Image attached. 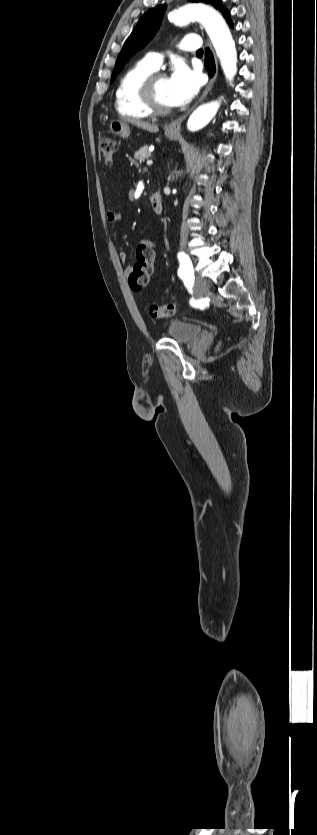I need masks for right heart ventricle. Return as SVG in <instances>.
Listing matches in <instances>:
<instances>
[{"instance_id":"e07e8e85","label":"right heart ventricle","mask_w":317,"mask_h":835,"mask_svg":"<svg viewBox=\"0 0 317 835\" xmlns=\"http://www.w3.org/2000/svg\"><path fill=\"white\" fill-rule=\"evenodd\" d=\"M153 72L145 60L129 67L121 76L115 91V107L122 116L145 119L152 114L141 100L139 89L142 82Z\"/></svg>"}]
</instances>
